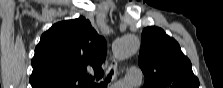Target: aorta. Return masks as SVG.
<instances>
[{
  "label": "aorta",
  "instance_id": "aorta-1",
  "mask_svg": "<svg viewBox=\"0 0 223 88\" xmlns=\"http://www.w3.org/2000/svg\"><path fill=\"white\" fill-rule=\"evenodd\" d=\"M139 46L140 41L138 37L131 34L125 35L117 41L114 55L118 60H124L136 53Z\"/></svg>",
  "mask_w": 223,
  "mask_h": 88
}]
</instances>
